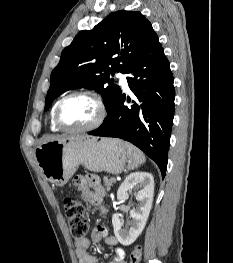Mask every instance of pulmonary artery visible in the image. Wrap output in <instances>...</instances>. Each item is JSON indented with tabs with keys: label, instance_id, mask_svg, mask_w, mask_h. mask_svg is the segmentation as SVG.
<instances>
[{
	"label": "pulmonary artery",
	"instance_id": "obj_1",
	"mask_svg": "<svg viewBox=\"0 0 233 263\" xmlns=\"http://www.w3.org/2000/svg\"><path fill=\"white\" fill-rule=\"evenodd\" d=\"M117 77L119 78V81H120V84L122 86V88L127 91L129 88H128V82H127V76L126 74L122 73V72H119L117 74Z\"/></svg>",
	"mask_w": 233,
	"mask_h": 263
}]
</instances>
